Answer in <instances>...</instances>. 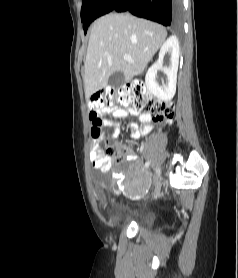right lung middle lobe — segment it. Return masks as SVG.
<instances>
[{
	"label": "right lung middle lobe",
	"instance_id": "right-lung-middle-lobe-1",
	"mask_svg": "<svg viewBox=\"0 0 238 278\" xmlns=\"http://www.w3.org/2000/svg\"><path fill=\"white\" fill-rule=\"evenodd\" d=\"M100 1L101 0H83V4L81 8V21L83 22V29L85 33L90 24L89 23L90 13Z\"/></svg>",
	"mask_w": 238,
	"mask_h": 278
}]
</instances>
